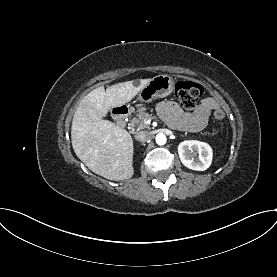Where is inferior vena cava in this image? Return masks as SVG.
<instances>
[{
    "instance_id": "inferior-vena-cava-1",
    "label": "inferior vena cava",
    "mask_w": 277,
    "mask_h": 277,
    "mask_svg": "<svg viewBox=\"0 0 277 277\" xmlns=\"http://www.w3.org/2000/svg\"><path fill=\"white\" fill-rule=\"evenodd\" d=\"M135 138L139 142H146L151 138V135L148 131H139L136 133Z\"/></svg>"
}]
</instances>
